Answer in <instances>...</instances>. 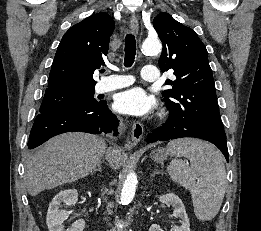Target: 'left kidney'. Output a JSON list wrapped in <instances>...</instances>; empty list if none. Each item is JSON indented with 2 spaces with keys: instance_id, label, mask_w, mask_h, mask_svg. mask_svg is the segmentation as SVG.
<instances>
[{
  "instance_id": "left-kidney-1",
  "label": "left kidney",
  "mask_w": 261,
  "mask_h": 231,
  "mask_svg": "<svg viewBox=\"0 0 261 231\" xmlns=\"http://www.w3.org/2000/svg\"><path fill=\"white\" fill-rule=\"evenodd\" d=\"M160 202L167 206L174 207V211L171 217L179 218L181 226H174L173 231H190L189 218L186 213L182 200L173 193L161 195L159 197ZM149 231H163L157 224H152Z\"/></svg>"
}]
</instances>
